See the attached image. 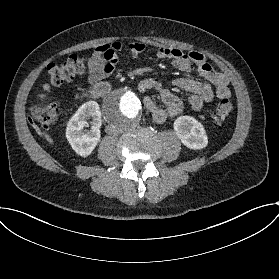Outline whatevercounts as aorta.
I'll list each match as a JSON object with an SVG mask.
<instances>
[{"label": "aorta", "instance_id": "1", "mask_svg": "<svg viewBox=\"0 0 279 279\" xmlns=\"http://www.w3.org/2000/svg\"><path fill=\"white\" fill-rule=\"evenodd\" d=\"M141 111L142 104L138 96L126 87L114 89L103 101L105 120L123 130L137 125Z\"/></svg>", "mask_w": 279, "mask_h": 279}]
</instances>
